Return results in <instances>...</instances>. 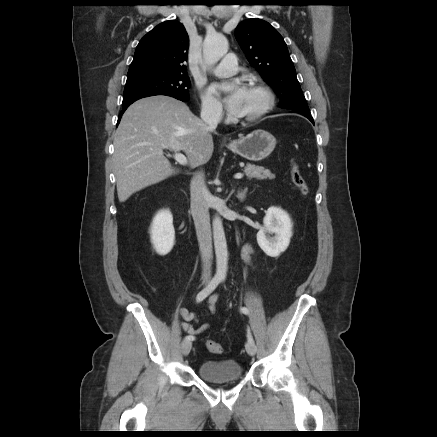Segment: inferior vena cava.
Here are the masks:
<instances>
[{"label": "inferior vena cava", "mask_w": 437, "mask_h": 437, "mask_svg": "<svg viewBox=\"0 0 437 437\" xmlns=\"http://www.w3.org/2000/svg\"><path fill=\"white\" fill-rule=\"evenodd\" d=\"M222 111L208 107L201 111V119L212 130L221 120ZM191 213L195 224L201 259L203 263L202 278L208 281L211 276L212 234L209 217L210 192L207 189L203 172L197 173L190 183Z\"/></svg>", "instance_id": "1"}]
</instances>
